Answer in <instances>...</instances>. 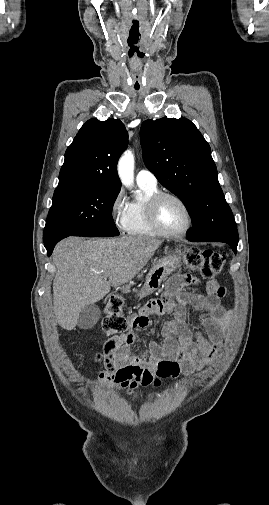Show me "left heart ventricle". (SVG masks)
I'll return each instance as SVG.
<instances>
[{"label": "left heart ventricle", "instance_id": "b2bd125f", "mask_svg": "<svg viewBox=\"0 0 269 505\" xmlns=\"http://www.w3.org/2000/svg\"><path fill=\"white\" fill-rule=\"evenodd\" d=\"M158 219L162 227L170 232H178L187 224L184 208L173 199H164L158 207Z\"/></svg>", "mask_w": 269, "mask_h": 505}]
</instances>
